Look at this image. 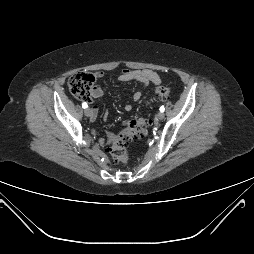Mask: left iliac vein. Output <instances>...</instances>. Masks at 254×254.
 <instances>
[{
  "label": "left iliac vein",
  "mask_w": 254,
  "mask_h": 254,
  "mask_svg": "<svg viewBox=\"0 0 254 254\" xmlns=\"http://www.w3.org/2000/svg\"><path fill=\"white\" fill-rule=\"evenodd\" d=\"M164 117H165V114H164L163 112H159L158 115H157V118H158L159 120H163Z\"/></svg>",
  "instance_id": "4c4485c4"
}]
</instances>
